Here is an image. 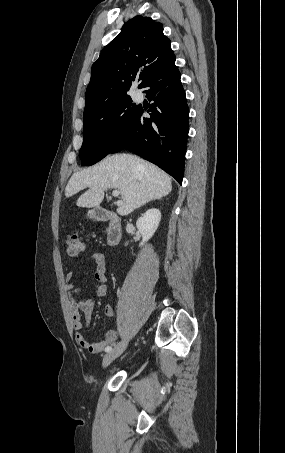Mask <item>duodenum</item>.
I'll use <instances>...</instances> for the list:
<instances>
[{"mask_svg": "<svg viewBox=\"0 0 285 453\" xmlns=\"http://www.w3.org/2000/svg\"><path fill=\"white\" fill-rule=\"evenodd\" d=\"M96 218L107 222L106 243L108 246H115L119 243L122 236L121 222L117 215L105 209L96 211Z\"/></svg>", "mask_w": 285, "mask_h": 453, "instance_id": "1", "label": "duodenum"}]
</instances>
